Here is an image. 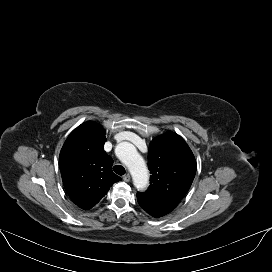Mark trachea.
I'll list each match as a JSON object with an SVG mask.
<instances>
[{"label": "trachea", "instance_id": "obj_1", "mask_svg": "<svg viewBox=\"0 0 272 272\" xmlns=\"http://www.w3.org/2000/svg\"><path fill=\"white\" fill-rule=\"evenodd\" d=\"M113 170L118 175H124L125 174V168L122 165H115L113 167Z\"/></svg>", "mask_w": 272, "mask_h": 272}]
</instances>
